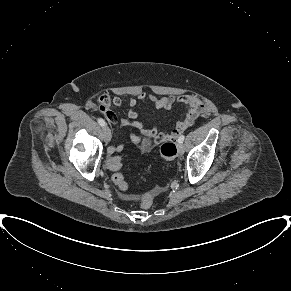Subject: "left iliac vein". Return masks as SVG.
Returning a JSON list of instances; mask_svg holds the SVG:
<instances>
[{"instance_id":"left-iliac-vein-1","label":"left iliac vein","mask_w":291,"mask_h":291,"mask_svg":"<svg viewBox=\"0 0 291 291\" xmlns=\"http://www.w3.org/2000/svg\"><path fill=\"white\" fill-rule=\"evenodd\" d=\"M177 149L180 155H182L185 151L184 145L182 143H178Z\"/></svg>"}]
</instances>
